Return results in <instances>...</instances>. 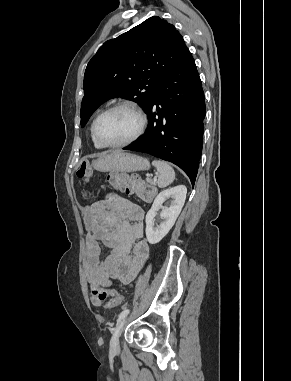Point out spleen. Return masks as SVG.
I'll use <instances>...</instances> for the list:
<instances>
[{
    "label": "spleen",
    "mask_w": 291,
    "mask_h": 381,
    "mask_svg": "<svg viewBox=\"0 0 291 381\" xmlns=\"http://www.w3.org/2000/svg\"><path fill=\"white\" fill-rule=\"evenodd\" d=\"M152 164L159 172L157 183L160 188L167 187L174 181L175 171L168 163L160 160H154Z\"/></svg>",
    "instance_id": "3e777b00"
}]
</instances>
